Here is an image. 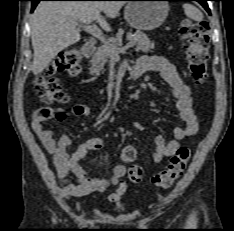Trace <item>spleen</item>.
<instances>
[{
	"label": "spleen",
	"mask_w": 234,
	"mask_h": 231,
	"mask_svg": "<svg viewBox=\"0 0 234 231\" xmlns=\"http://www.w3.org/2000/svg\"><path fill=\"white\" fill-rule=\"evenodd\" d=\"M183 9H184V12L187 15V17H189L195 21H202L203 14L194 5H192L190 3H185L183 5Z\"/></svg>",
	"instance_id": "1"
}]
</instances>
